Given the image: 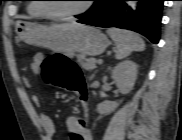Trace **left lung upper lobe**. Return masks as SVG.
<instances>
[{"label":"left lung upper lobe","instance_id":"obj_1","mask_svg":"<svg viewBox=\"0 0 182 140\" xmlns=\"http://www.w3.org/2000/svg\"><path fill=\"white\" fill-rule=\"evenodd\" d=\"M99 1H100V0H97V1H96V4H97ZM96 4H95V5H96ZM95 5H94V6H95ZM88 12H89V11H88Z\"/></svg>","mask_w":182,"mask_h":140}]
</instances>
